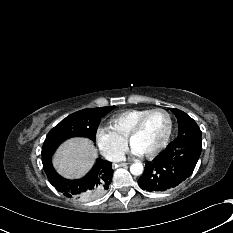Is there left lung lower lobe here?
Returning a JSON list of instances; mask_svg holds the SVG:
<instances>
[{
	"label": "left lung lower lobe",
	"mask_w": 233,
	"mask_h": 233,
	"mask_svg": "<svg viewBox=\"0 0 233 233\" xmlns=\"http://www.w3.org/2000/svg\"><path fill=\"white\" fill-rule=\"evenodd\" d=\"M201 149V146H167L145 165L139 186L149 192H162L178 186L193 173Z\"/></svg>",
	"instance_id": "left-lung-lower-lobe-1"
}]
</instances>
